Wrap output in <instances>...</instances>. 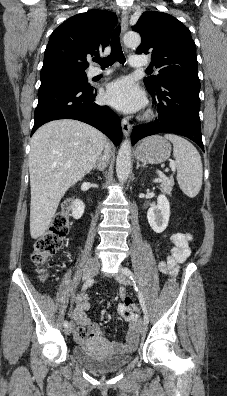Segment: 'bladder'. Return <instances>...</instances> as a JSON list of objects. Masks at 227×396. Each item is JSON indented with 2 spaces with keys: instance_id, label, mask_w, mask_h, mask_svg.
I'll use <instances>...</instances> for the list:
<instances>
[{
  "instance_id": "bladder-1",
  "label": "bladder",
  "mask_w": 227,
  "mask_h": 396,
  "mask_svg": "<svg viewBox=\"0 0 227 396\" xmlns=\"http://www.w3.org/2000/svg\"><path fill=\"white\" fill-rule=\"evenodd\" d=\"M74 358L87 369L94 372H112L127 365L132 359V352L104 354L91 342L73 347Z\"/></svg>"
}]
</instances>
